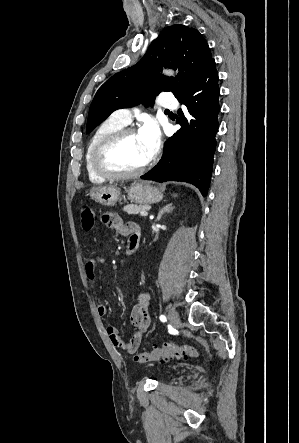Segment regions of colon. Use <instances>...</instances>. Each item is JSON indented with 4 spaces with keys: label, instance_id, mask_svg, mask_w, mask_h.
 Listing matches in <instances>:
<instances>
[{
    "label": "colon",
    "instance_id": "obj_1",
    "mask_svg": "<svg viewBox=\"0 0 299 443\" xmlns=\"http://www.w3.org/2000/svg\"><path fill=\"white\" fill-rule=\"evenodd\" d=\"M79 216L81 227L85 231H90L95 226V213L93 209L87 205L82 204L79 207ZM199 356L197 348L190 345H177V344H165L161 347L153 348L138 353L134 357V361L137 363H145L148 361H163L169 358H185L196 359Z\"/></svg>",
    "mask_w": 299,
    "mask_h": 443
}]
</instances>
